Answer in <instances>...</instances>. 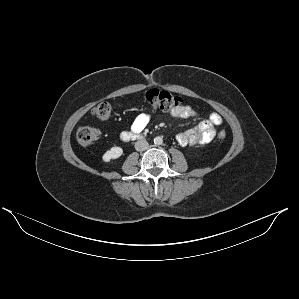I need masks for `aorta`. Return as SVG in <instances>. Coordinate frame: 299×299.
<instances>
[{"label":"aorta","instance_id":"obj_1","mask_svg":"<svg viewBox=\"0 0 299 299\" xmlns=\"http://www.w3.org/2000/svg\"><path fill=\"white\" fill-rule=\"evenodd\" d=\"M163 143V139L160 136H157L154 138V144L155 145H161Z\"/></svg>","mask_w":299,"mask_h":299}]
</instances>
